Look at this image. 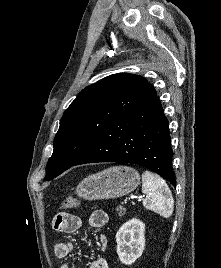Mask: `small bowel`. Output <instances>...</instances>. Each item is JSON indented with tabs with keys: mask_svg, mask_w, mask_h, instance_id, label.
I'll return each mask as SVG.
<instances>
[{
	"mask_svg": "<svg viewBox=\"0 0 221 268\" xmlns=\"http://www.w3.org/2000/svg\"><path fill=\"white\" fill-rule=\"evenodd\" d=\"M108 222V215L103 210H95L91 213L88 219V228L90 230L99 229L105 226ZM53 228L56 231L61 232H74L78 230L82 221L78 216L69 213H59L54 216L52 221ZM99 246L101 250H105L107 246V239L104 235H99ZM73 250V244L71 242H57L54 245L53 251L57 258L67 257ZM60 268H70L68 264H63ZM88 268H109L108 262L104 258H97L93 260Z\"/></svg>",
	"mask_w": 221,
	"mask_h": 268,
	"instance_id": "obj_1",
	"label": "small bowel"
}]
</instances>
